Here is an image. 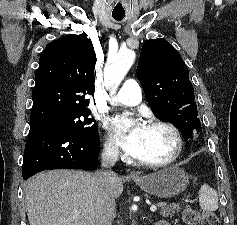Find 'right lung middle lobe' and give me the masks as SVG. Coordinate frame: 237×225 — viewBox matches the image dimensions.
Instances as JSON below:
<instances>
[{
	"label": "right lung middle lobe",
	"instance_id": "1",
	"mask_svg": "<svg viewBox=\"0 0 237 225\" xmlns=\"http://www.w3.org/2000/svg\"><path fill=\"white\" fill-rule=\"evenodd\" d=\"M34 126L62 130L85 138L98 136L97 124L94 123V118H91L86 110H79L73 113L31 122V127Z\"/></svg>",
	"mask_w": 237,
	"mask_h": 225
}]
</instances>
